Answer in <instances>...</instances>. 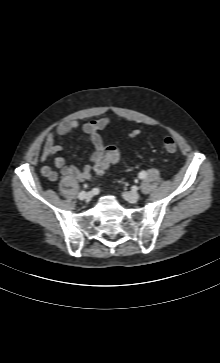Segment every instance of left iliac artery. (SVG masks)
Masks as SVG:
<instances>
[{"label": "left iliac artery", "instance_id": "obj_1", "mask_svg": "<svg viewBox=\"0 0 220 363\" xmlns=\"http://www.w3.org/2000/svg\"><path fill=\"white\" fill-rule=\"evenodd\" d=\"M146 176H147V173H146L145 171H141V172L139 173V178H140V179H144Z\"/></svg>", "mask_w": 220, "mask_h": 363}]
</instances>
